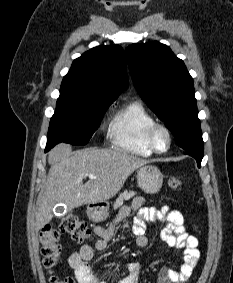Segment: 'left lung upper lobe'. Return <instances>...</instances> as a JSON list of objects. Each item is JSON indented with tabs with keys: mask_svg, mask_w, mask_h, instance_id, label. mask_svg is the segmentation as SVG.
Instances as JSON below:
<instances>
[{
	"mask_svg": "<svg viewBox=\"0 0 233 283\" xmlns=\"http://www.w3.org/2000/svg\"><path fill=\"white\" fill-rule=\"evenodd\" d=\"M133 83L184 150L203 151L193 79L171 49L158 41L126 49Z\"/></svg>",
	"mask_w": 233,
	"mask_h": 283,
	"instance_id": "1",
	"label": "left lung upper lobe"
}]
</instances>
